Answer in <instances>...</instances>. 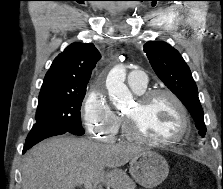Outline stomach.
Segmentation results:
<instances>
[{
    "mask_svg": "<svg viewBox=\"0 0 223 189\" xmlns=\"http://www.w3.org/2000/svg\"><path fill=\"white\" fill-rule=\"evenodd\" d=\"M129 172L141 186L153 188L166 179L169 166L161 155L146 150L131 159Z\"/></svg>",
    "mask_w": 223,
    "mask_h": 189,
    "instance_id": "1",
    "label": "stomach"
}]
</instances>
